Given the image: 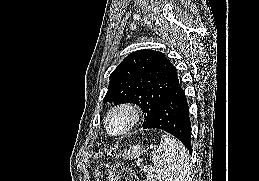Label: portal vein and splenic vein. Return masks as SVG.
Returning a JSON list of instances; mask_svg holds the SVG:
<instances>
[{
    "label": "portal vein and splenic vein",
    "mask_w": 259,
    "mask_h": 181,
    "mask_svg": "<svg viewBox=\"0 0 259 181\" xmlns=\"http://www.w3.org/2000/svg\"><path fill=\"white\" fill-rule=\"evenodd\" d=\"M144 171H148L149 170V168L148 167H144V169H143Z\"/></svg>",
    "instance_id": "18ae733b"
}]
</instances>
